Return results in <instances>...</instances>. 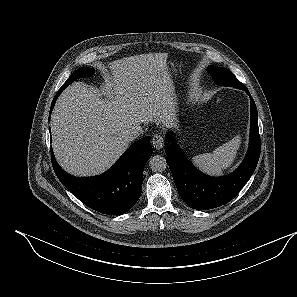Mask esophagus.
I'll list each match as a JSON object with an SVG mask.
<instances>
[{"mask_svg":"<svg viewBox=\"0 0 297 297\" xmlns=\"http://www.w3.org/2000/svg\"><path fill=\"white\" fill-rule=\"evenodd\" d=\"M151 142L153 147L157 150H160L164 147V139L159 134L154 135Z\"/></svg>","mask_w":297,"mask_h":297,"instance_id":"34e87169","label":"esophagus"}]
</instances>
